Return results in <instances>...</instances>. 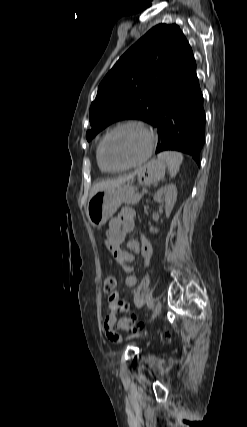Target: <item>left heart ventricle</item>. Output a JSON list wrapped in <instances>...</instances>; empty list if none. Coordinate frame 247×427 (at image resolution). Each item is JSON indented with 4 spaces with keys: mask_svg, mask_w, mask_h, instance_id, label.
Returning <instances> with one entry per match:
<instances>
[{
    "mask_svg": "<svg viewBox=\"0 0 247 427\" xmlns=\"http://www.w3.org/2000/svg\"><path fill=\"white\" fill-rule=\"evenodd\" d=\"M149 145L147 134L136 127H125L107 140L105 158L109 165L121 167L140 159Z\"/></svg>",
    "mask_w": 247,
    "mask_h": 427,
    "instance_id": "left-heart-ventricle-1",
    "label": "left heart ventricle"
}]
</instances>
